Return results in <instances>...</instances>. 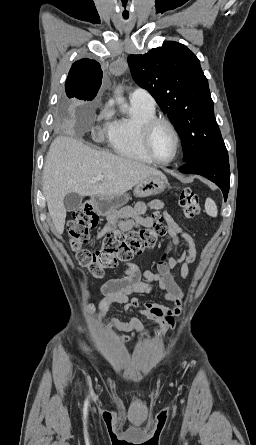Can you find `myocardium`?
I'll return each instance as SVG.
<instances>
[{
  "label": "myocardium",
  "instance_id": "obj_1",
  "mask_svg": "<svg viewBox=\"0 0 256 445\" xmlns=\"http://www.w3.org/2000/svg\"><path fill=\"white\" fill-rule=\"evenodd\" d=\"M159 125H165L167 126L170 131L172 132L175 142H176V148L174 155L168 159V160H161L156 157V155L153 152L152 149V134L155 128ZM140 136H141V143L143 146V149L145 153L148 155V157L151 159L152 162H155L160 165H168L173 163L179 156L181 151V138L179 135V132L177 131L174 124L169 121L168 119L162 118V117H154L146 122H144L140 127Z\"/></svg>",
  "mask_w": 256,
  "mask_h": 445
}]
</instances>
